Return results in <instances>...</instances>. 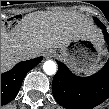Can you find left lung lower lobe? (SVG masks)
Segmentation results:
<instances>
[{"label": "left lung lower lobe", "instance_id": "1", "mask_svg": "<svg viewBox=\"0 0 109 109\" xmlns=\"http://www.w3.org/2000/svg\"><path fill=\"white\" fill-rule=\"evenodd\" d=\"M94 21L103 29L109 51V33L102 22L97 18ZM57 63L52 92L55 100L64 108L92 109L109 97V60L99 72L89 77H78L65 64Z\"/></svg>", "mask_w": 109, "mask_h": 109}]
</instances>
